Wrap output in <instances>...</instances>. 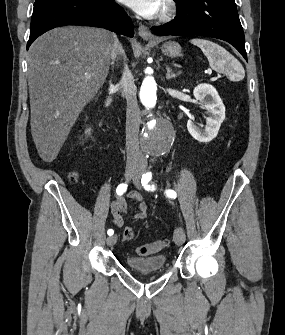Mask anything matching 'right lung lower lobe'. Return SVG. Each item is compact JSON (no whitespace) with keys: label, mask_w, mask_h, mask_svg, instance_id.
<instances>
[{"label":"right lung lower lobe","mask_w":285,"mask_h":335,"mask_svg":"<svg viewBox=\"0 0 285 335\" xmlns=\"http://www.w3.org/2000/svg\"><path fill=\"white\" fill-rule=\"evenodd\" d=\"M64 25L104 27L134 36L131 19L112 0H36L27 49L46 31Z\"/></svg>","instance_id":"1"}]
</instances>
